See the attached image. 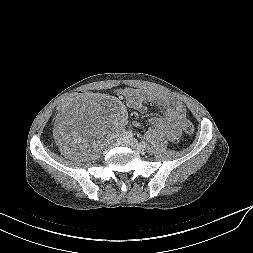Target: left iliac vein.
Listing matches in <instances>:
<instances>
[{
    "label": "left iliac vein",
    "mask_w": 253,
    "mask_h": 253,
    "mask_svg": "<svg viewBox=\"0 0 253 253\" xmlns=\"http://www.w3.org/2000/svg\"><path fill=\"white\" fill-rule=\"evenodd\" d=\"M123 144L137 153H143L144 149L140 146V143L134 138H125Z\"/></svg>",
    "instance_id": "left-iliac-vein-1"
}]
</instances>
